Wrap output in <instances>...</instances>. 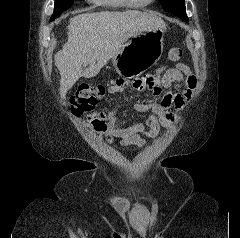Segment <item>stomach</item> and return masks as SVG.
Instances as JSON below:
<instances>
[{
    "label": "stomach",
    "instance_id": "stomach-1",
    "mask_svg": "<svg viewBox=\"0 0 240 238\" xmlns=\"http://www.w3.org/2000/svg\"><path fill=\"white\" fill-rule=\"evenodd\" d=\"M164 30L144 31L125 43L113 57L117 73L126 78L138 77L161 58Z\"/></svg>",
    "mask_w": 240,
    "mask_h": 238
}]
</instances>
